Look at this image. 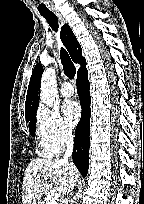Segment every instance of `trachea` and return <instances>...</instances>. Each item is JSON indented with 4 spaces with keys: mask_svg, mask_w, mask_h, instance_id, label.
Listing matches in <instances>:
<instances>
[{
    "mask_svg": "<svg viewBox=\"0 0 144 204\" xmlns=\"http://www.w3.org/2000/svg\"><path fill=\"white\" fill-rule=\"evenodd\" d=\"M41 15L47 20L51 28L57 32L59 28L57 16L53 12L41 13ZM60 59L63 65V70H64L65 75L68 78L73 79L76 74V68L73 62L71 61L69 54L63 48H61Z\"/></svg>",
    "mask_w": 144,
    "mask_h": 204,
    "instance_id": "1",
    "label": "trachea"
}]
</instances>
